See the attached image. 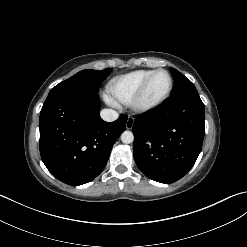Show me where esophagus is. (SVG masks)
Masks as SVG:
<instances>
[{"label": "esophagus", "instance_id": "esophagus-1", "mask_svg": "<svg viewBox=\"0 0 247 247\" xmlns=\"http://www.w3.org/2000/svg\"><path fill=\"white\" fill-rule=\"evenodd\" d=\"M133 125H134V118L128 117L127 122H126V128L132 129Z\"/></svg>", "mask_w": 247, "mask_h": 247}]
</instances>
